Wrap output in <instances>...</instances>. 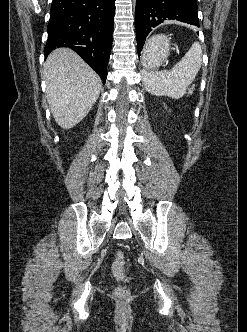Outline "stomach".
<instances>
[{
  "label": "stomach",
  "mask_w": 247,
  "mask_h": 332,
  "mask_svg": "<svg viewBox=\"0 0 247 332\" xmlns=\"http://www.w3.org/2000/svg\"><path fill=\"white\" fill-rule=\"evenodd\" d=\"M170 54V41L165 35L151 37L142 53V65L146 70H156Z\"/></svg>",
  "instance_id": "stomach-1"
}]
</instances>
